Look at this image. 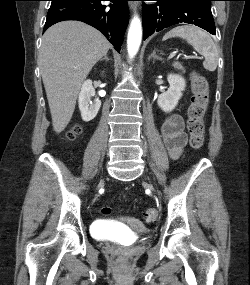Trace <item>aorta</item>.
I'll return each instance as SVG.
<instances>
[{
  "mask_svg": "<svg viewBox=\"0 0 250 285\" xmlns=\"http://www.w3.org/2000/svg\"><path fill=\"white\" fill-rule=\"evenodd\" d=\"M142 40V25L138 15H135L130 23L128 37H127V50L130 59H132L138 52Z\"/></svg>",
  "mask_w": 250,
  "mask_h": 285,
  "instance_id": "obj_1",
  "label": "aorta"
}]
</instances>
